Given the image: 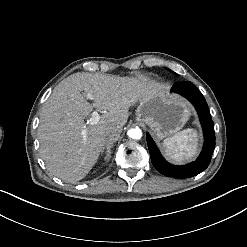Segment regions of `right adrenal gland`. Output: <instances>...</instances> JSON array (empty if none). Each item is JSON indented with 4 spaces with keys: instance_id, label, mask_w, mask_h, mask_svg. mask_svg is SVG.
<instances>
[{
    "instance_id": "1",
    "label": "right adrenal gland",
    "mask_w": 247,
    "mask_h": 247,
    "mask_svg": "<svg viewBox=\"0 0 247 247\" xmlns=\"http://www.w3.org/2000/svg\"><path fill=\"white\" fill-rule=\"evenodd\" d=\"M113 144H114V141H107V143L104 146H102V148L100 150V153L102 155L103 152H104V150L106 149L107 155L104 158L105 161H108L109 158L111 157V151H110V149L113 147Z\"/></svg>"
}]
</instances>
